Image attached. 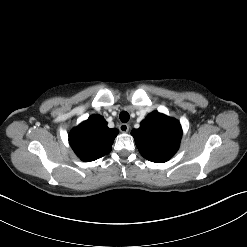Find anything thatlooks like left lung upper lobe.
I'll return each mask as SVG.
<instances>
[{
	"instance_id": "1",
	"label": "left lung upper lobe",
	"mask_w": 247,
	"mask_h": 247,
	"mask_svg": "<svg viewBox=\"0 0 247 247\" xmlns=\"http://www.w3.org/2000/svg\"><path fill=\"white\" fill-rule=\"evenodd\" d=\"M131 134L145 159L163 163L171 159L179 149L182 128L177 120L154 111Z\"/></svg>"
}]
</instances>
